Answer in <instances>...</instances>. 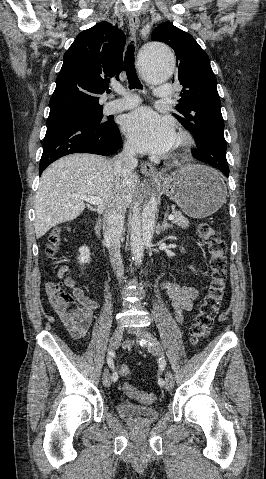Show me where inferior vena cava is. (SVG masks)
Listing matches in <instances>:
<instances>
[{
  "label": "inferior vena cava",
  "mask_w": 266,
  "mask_h": 479,
  "mask_svg": "<svg viewBox=\"0 0 266 479\" xmlns=\"http://www.w3.org/2000/svg\"><path fill=\"white\" fill-rule=\"evenodd\" d=\"M137 165L136 151L132 145L126 143L123 151L113 160L114 174L118 179L116 189L119 188V181H126ZM125 212L126 207L119 193L113 196L112 201L103 210L104 239L109 250L111 265L119 280L124 273L120 254V238L123 232Z\"/></svg>",
  "instance_id": "obj_1"
}]
</instances>
